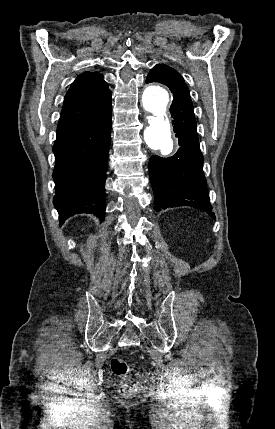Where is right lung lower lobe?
<instances>
[{
	"instance_id": "98d812e1",
	"label": "right lung lower lobe",
	"mask_w": 275,
	"mask_h": 429,
	"mask_svg": "<svg viewBox=\"0 0 275 429\" xmlns=\"http://www.w3.org/2000/svg\"><path fill=\"white\" fill-rule=\"evenodd\" d=\"M112 111V110H111ZM111 111L96 120L57 130L53 146L54 206L60 224L71 215L105 214V171L111 139Z\"/></svg>"
}]
</instances>
